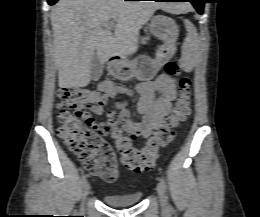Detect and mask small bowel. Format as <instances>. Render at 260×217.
<instances>
[{
	"mask_svg": "<svg viewBox=\"0 0 260 217\" xmlns=\"http://www.w3.org/2000/svg\"><path fill=\"white\" fill-rule=\"evenodd\" d=\"M98 90L110 98L120 94L133 97L135 92L139 95L137 111L141 116L140 121H134L128 108L127 101L114 103V108L119 111L115 120L109 124L112 136L118 133H127L134 139L136 136L149 137L162 126L163 120L169 113L172 102L176 97V85L167 74L159 75L154 81L139 83L135 91L105 80L98 85ZM92 112L101 114V108H93Z\"/></svg>",
	"mask_w": 260,
	"mask_h": 217,
	"instance_id": "1",
	"label": "small bowel"
}]
</instances>
